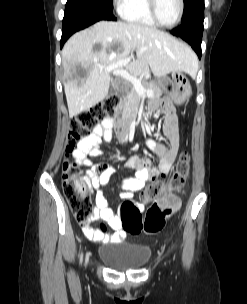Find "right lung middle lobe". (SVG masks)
I'll return each instance as SVG.
<instances>
[{
    "label": "right lung middle lobe",
    "instance_id": "1",
    "mask_svg": "<svg viewBox=\"0 0 247 304\" xmlns=\"http://www.w3.org/2000/svg\"><path fill=\"white\" fill-rule=\"evenodd\" d=\"M67 4L102 9L110 13L113 11L112 0H68Z\"/></svg>",
    "mask_w": 247,
    "mask_h": 304
}]
</instances>
